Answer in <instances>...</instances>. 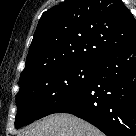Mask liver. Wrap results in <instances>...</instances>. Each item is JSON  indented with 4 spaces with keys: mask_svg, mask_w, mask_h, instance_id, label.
Returning a JSON list of instances; mask_svg holds the SVG:
<instances>
[{
    "mask_svg": "<svg viewBox=\"0 0 136 136\" xmlns=\"http://www.w3.org/2000/svg\"><path fill=\"white\" fill-rule=\"evenodd\" d=\"M20 136H103L91 124L70 114H53L26 128Z\"/></svg>",
    "mask_w": 136,
    "mask_h": 136,
    "instance_id": "6515ba94",
    "label": "liver"
}]
</instances>
